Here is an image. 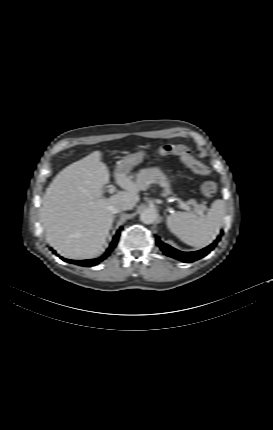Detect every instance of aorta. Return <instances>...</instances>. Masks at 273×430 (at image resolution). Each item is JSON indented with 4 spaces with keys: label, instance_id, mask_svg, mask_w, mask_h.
<instances>
[{
    "label": "aorta",
    "instance_id": "aorta-1",
    "mask_svg": "<svg viewBox=\"0 0 273 430\" xmlns=\"http://www.w3.org/2000/svg\"><path fill=\"white\" fill-rule=\"evenodd\" d=\"M157 217H158V213L153 208H147V209L143 210L142 213L140 214V220L144 224L154 223L156 221Z\"/></svg>",
    "mask_w": 273,
    "mask_h": 430
}]
</instances>
